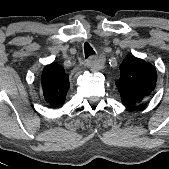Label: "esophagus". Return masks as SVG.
Returning a JSON list of instances; mask_svg holds the SVG:
<instances>
[{"mask_svg":"<svg viewBox=\"0 0 169 169\" xmlns=\"http://www.w3.org/2000/svg\"><path fill=\"white\" fill-rule=\"evenodd\" d=\"M88 61H89V60L86 61V64H88ZM97 70H98V69H97Z\"/></svg>","mask_w":169,"mask_h":169,"instance_id":"34e87169","label":"esophagus"}]
</instances>
